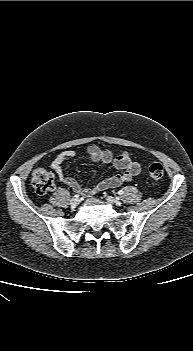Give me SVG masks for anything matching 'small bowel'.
Listing matches in <instances>:
<instances>
[{"label":"small bowel","instance_id":"small-bowel-1","mask_svg":"<svg viewBox=\"0 0 193 351\" xmlns=\"http://www.w3.org/2000/svg\"><path fill=\"white\" fill-rule=\"evenodd\" d=\"M75 155L76 152L74 150H65L59 153L53 159L51 168L60 183L67 185L82 196H92L99 191L116 188L130 181L133 177L138 175L141 170L139 163L133 161L127 152L114 156L113 152L109 149H101L96 145H90L87 148V156L92 162L104 165L111 164L120 172L99 181L93 186H82L74 178L66 176L61 167L64 161L73 158Z\"/></svg>","mask_w":193,"mask_h":351}]
</instances>
